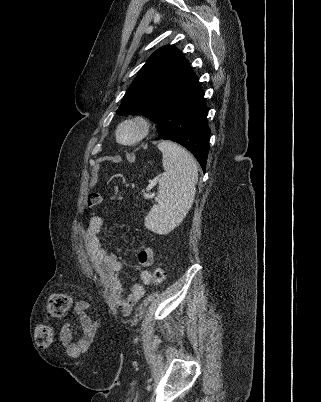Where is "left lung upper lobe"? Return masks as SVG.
<instances>
[{
    "mask_svg": "<svg viewBox=\"0 0 321 402\" xmlns=\"http://www.w3.org/2000/svg\"><path fill=\"white\" fill-rule=\"evenodd\" d=\"M191 73L178 49L171 45L161 47L141 68L116 112L142 114L156 123L168 94Z\"/></svg>",
    "mask_w": 321,
    "mask_h": 402,
    "instance_id": "5c2ea615",
    "label": "left lung upper lobe"
}]
</instances>
